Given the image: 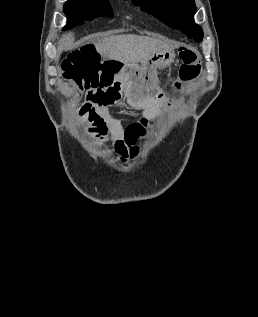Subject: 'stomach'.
<instances>
[{
  "mask_svg": "<svg viewBox=\"0 0 258 317\" xmlns=\"http://www.w3.org/2000/svg\"><path fill=\"white\" fill-rule=\"evenodd\" d=\"M175 50H158V52H152L150 54L148 60H142L141 64L138 62H130V64H126L124 68L130 70V72H135L136 76L141 78V82H148V78L152 72H156L157 68H166V66H170L172 62H174L175 58Z\"/></svg>",
  "mask_w": 258,
  "mask_h": 317,
  "instance_id": "1",
  "label": "stomach"
}]
</instances>
